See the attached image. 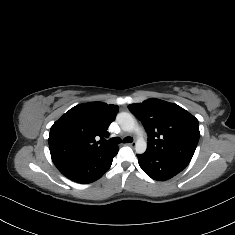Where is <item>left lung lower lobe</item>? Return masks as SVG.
<instances>
[{
  "label": "left lung lower lobe",
  "mask_w": 235,
  "mask_h": 235,
  "mask_svg": "<svg viewBox=\"0 0 235 235\" xmlns=\"http://www.w3.org/2000/svg\"><path fill=\"white\" fill-rule=\"evenodd\" d=\"M137 157L140 167L148 176L157 181H165L174 177L189 164L177 157L156 154L148 150Z\"/></svg>",
  "instance_id": "left-lung-lower-lobe-1"
}]
</instances>
